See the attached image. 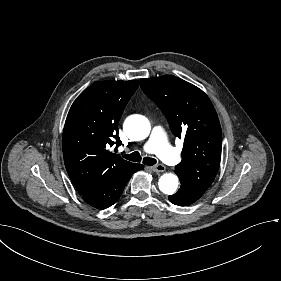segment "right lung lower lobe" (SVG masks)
<instances>
[{"mask_svg": "<svg viewBox=\"0 0 281 281\" xmlns=\"http://www.w3.org/2000/svg\"><path fill=\"white\" fill-rule=\"evenodd\" d=\"M141 169H143V165L136 164V166H134L130 171L115 178L101 188L91 193L82 195L83 200L97 209H105L112 206L119 200L123 189L130 180L131 176Z\"/></svg>", "mask_w": 281, "mask_h": 281, "instance_id": "obj_1", "label": "right lung lower lobe"}]
</instances>
